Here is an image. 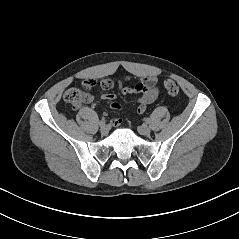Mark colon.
Listing matches in <instances>:
<instances>
[{"label": "colon", "instance_id": "1", "mask_svg": "<svg viewBox=\"0 0 239 239\" xmlns=\"http://www.w3.org/2000/svg\"><path fill=\"white\" fill-rule=\"evenodd\" d=\"M92 87H94V83L89 81L86 85H83V89H68L64 94V100L73 108H79L83 103L88 101L89 96L86 90H90ZM164 88L172 96H175L179 93V85L174 80H166L164 82Z\"/></svg>", "mask_w": 239, "mask_h": 239}]
</instances>
